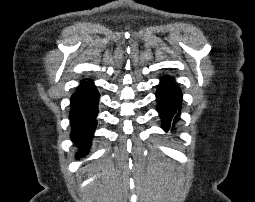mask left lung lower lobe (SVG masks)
Listing matches in <instances>:
<instances>
[{"label": "left lung lower lobe", "mask_w": 255, "mask_h": 202, "mask_svg": "<svg viewBox=\"0 0 255 202\" xmlns=\"http://www.w3.org/2000/svg\"><path fill=\"white\" fill-rule=\"evenodd\" d=\"M157 108L161 117L162 128L168 131L172 122H177L180 116L182 93L174 78H161L156 92ZM172 130V129H171Z\"/></svg>", "instance_id": "0a47b994"}]
</instances>
